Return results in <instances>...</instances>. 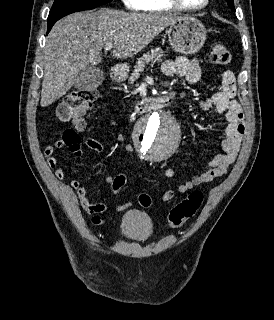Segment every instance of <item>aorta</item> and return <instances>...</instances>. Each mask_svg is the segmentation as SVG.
Wrapping results in <instances>:
<instances>
[{
	"label": "aorta",
	"mask_w": 274,
	"mask_h": 320,
	"mask_svg": "<svg viewBox=\"0 0 274 320\" xmlns=\"http://www.w3.org/2000/svg\"><path fill=\"white\" fill-rule=\"evenodd\" d=\"M180 139L178 124L173 116L165 111L153 112L149 118L139 123L135 132V141L141 155L154 162L172 156L180 144Z\"/></svg>",
	"instance_id": "762f6f07"
}]
</instances>
